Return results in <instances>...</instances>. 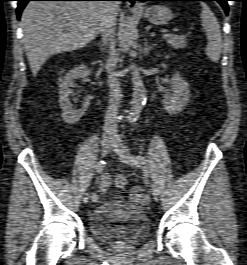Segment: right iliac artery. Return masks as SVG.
Returning a JSON list of instances; mask_svg holds the SVG:
<instances>
[{
	"mask_svg": "<svg viewBox=\"0 0 247 265\" xmlns=\"http://www.w3.org/2000/svg\"><path fill=\"white\" fill-rule=\"evenodd\" d=\"M104 167H105V162L103 160L99 161L96 165V172L98 174H101L104 170ZM91 200L93 203H97L98 202V195L96 193H92L91 194Z\"/></svg>",
	"mask_w": 247,
	"mask_h": 265,
	"instance_id": "right-iliac-artery-1",
	"label": "right iliac artery"
}]
</instances>
